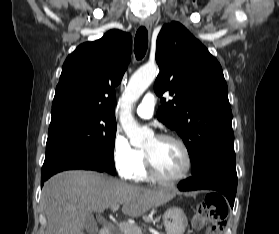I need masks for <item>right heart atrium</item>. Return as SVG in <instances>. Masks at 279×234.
Wrapping results in <instances>:
<instances>
[{"label":"right heart atrium","mask_w":279,"mask_h":234,"mask_svg":"<svg viewBox=\"0 0 279 234\" xmlns=\"http://www.w3.org/2000/svg\"><path fill=\"white\" fill-rule=\"evenodd\" d=\"M111 155L117 173L122 178H130L138 160V150L131 145L127 136L120 130L114 133Z\"/></svg>","instance_id":"d8ad5b80"}]
</instances>
